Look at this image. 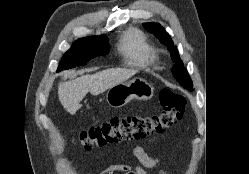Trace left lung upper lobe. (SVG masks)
<instances>
[{
  "instance_id": "1",
  "label": "left lung upper lobe",
  "mask_w": 249,
  "mask_h": 174,
  "mask_svg": "<svg viewBox=\"0 0 249 174\" xmlns=\"http://www.w3.org/2000/svg\"><path fill=\"white\" fill-rule=\"evenodd\" d=\"M144 28L150 33H154V35L160 40L162 44H164L171 52V58L175 62L176 65L173 66L172 72L176 80L186 89L192 91V82L190 76L183 67V62L179 57V53L177 48L174 46L173 41L171 40L168 33L163 29V27L158 23H144Z\"/></svg>"
}]
</instances>
